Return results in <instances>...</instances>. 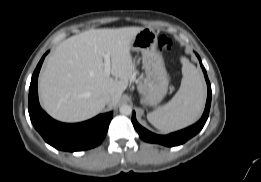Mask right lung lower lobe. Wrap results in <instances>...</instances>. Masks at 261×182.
<instances>
[{"mask_svg": "<svg viewBox=\"0 0 261 182\" xmlns=\"http://www.w3.org/2000/svg\"><path fill=\"white\" fill-rule=\"evenodd\" d=\"M47 53L38 63L29 88L28 110L32 124L44 140L56 149L74 152L96 147L107 133L112 112L98 115L82 123L66 124L52 119L41 109L38 101L37 79Z\"/></svg>", "mask_w": 261, "mask_h": 182, "instance_id": "obj_1", "label": "right lung lower lobe"}]
</instances>
